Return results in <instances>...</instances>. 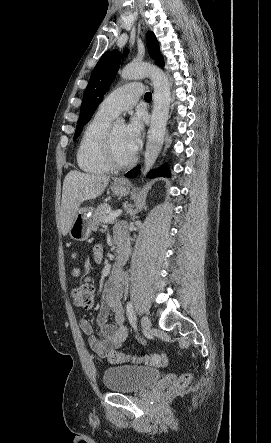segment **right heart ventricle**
Instances as JSON below:
<instances>
[{
  "label": "right heart ventricle",
  "instance_id": "e07e8e85",
  "mask_svg": "<svg viewBox=\"0 0 271 443\" xmlns=\"http://www.w3.org/2000/svg\"><path fill=\"white\" fill-rule=\"evenodd\" d=\"M113 117L97 111L87 122L76 152L78 167L88 174L111 170L105 154V138Z\"/></svg>",
  "mask_w": 271,
  "mask_h": 443
}]
</instances>
